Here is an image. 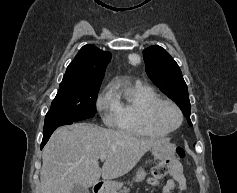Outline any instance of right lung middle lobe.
Returning a JSON list of instances; mask_svg holds the SVG:
<instances>
[{
    "label": "right lung middle lobe",
    "instance_id": "obj_1",
    "mask_svg": "<svg viewBox=\"0 0 237 193\" xmlns=\"http://www.w3.org/2000/svg\"><path fill=\"white\" fill-rule=\"evenodd\" d=\"M100 85L89 86L61 82L47 115L80 121L94 117Z\"/></svg>",
    "mask_w": 237,
    "mask_h": 193
}]
</instances>
